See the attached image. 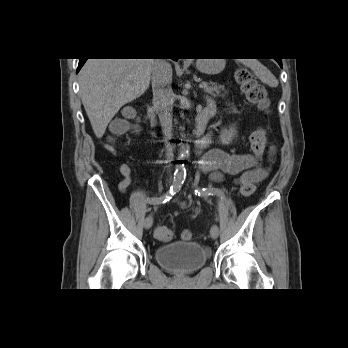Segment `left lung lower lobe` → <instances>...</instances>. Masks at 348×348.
<instances>
[{"instance_id": "left-lung-lower-lobe-1", "label": "left lung lower lobe", "mask_w": 348, "mask_h": 348, "mask_svg": "<svg viewBox=\"0 0 348 348\" xmlns=\"http://www.w3.org/2000/svg\"><path fill=\"white\" fill-rule=\"evenodd\" d=\"M278 63H279V65L282 67V61H281V59L280 60H276Z\"/></svg>"}]
</instances>
